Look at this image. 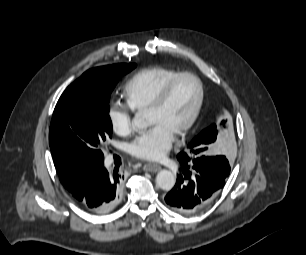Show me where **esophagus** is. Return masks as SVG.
I'll list each match as a JSON object with an SVG mask.
<instances>
[{"label":"esophagus","instance_id":"1","mask_svg":"<svg viewBox=\"0 0 306 255\" xmlns=\"http://www.w3.org/2000/svg\"><path fill=\"white\" fill-rule=\"evenodd\" d=\"M142 168L146 172H157V171L161 170L160 165L152 164V163L144 164Z\"/></svg>","mask_w":306,"mask_h":255}]
</instances>
